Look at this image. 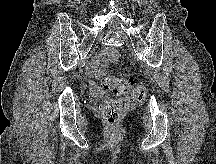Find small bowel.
I'll use <instances>...</instances> for the list:
<instances>
[{
  "instance_id": "obj_1",
  "label": "small bowel",
  "mask_w": 216,
  "mask_h": 164,
  "mask_svg": "<svg viewBox=\"0 0 216 164\" xmlns=\"http://www.w3.org/2000/svg\"><path fill=\"white\" fill-rule=\"evenodd\" d=\"M112 54H114V51H111ZM102 70L97 66L96 63H93L89 68V73L91 76L96 77L102 74ZM90 90L92 94L96 97L102 98L104 96L103 89L97 85L96 83H92L90 86Z\"/></svg>"
}]
</instances>
